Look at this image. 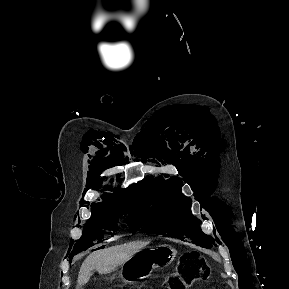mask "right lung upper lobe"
<instances>
[{"mask_svg":"<svg viewBox=\"0 0 289 289\" xmlns=\"http://www.w3.org/2000/svg\"><path fill=\"white\" fill-rule=\"evenodd\" d=\"M114 193H104L102 196L103 202L97 205H115L119 203H133L136 204L134 190L131 189H114Z\"/></svg>","mask_w":289,"mask_h":289,"instance_id":"1","label":"right lung upper lobe"}]
</instances>
